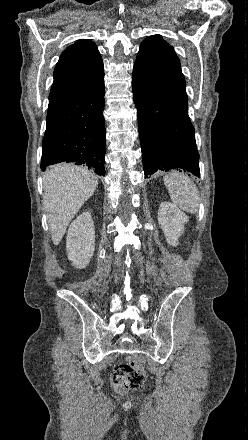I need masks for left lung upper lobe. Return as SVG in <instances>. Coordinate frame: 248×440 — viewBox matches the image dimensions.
<instances>
[{"instance_id":"left-lung-upper-lobe-1","label":"left lung upper lobe","mask_w":248,"mask_h":440,"mask_svg":"<svg viewBox=\"0 0 248 440\" xmlns=\"http://www.w3.org/2000/svg\"><path fill=\"white\" fill-rule=\"evenodd\" d=\"M133 73L145 83L188 105L179 58L161 35L150 36L141 43Z\"/></svg>"}]
</instances>
